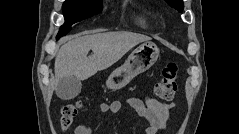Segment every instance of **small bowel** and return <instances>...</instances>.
<instances>
[{"mask_svg":"<svg viewBox=\"0 0 239 134\" xmlns=\"http://www.w3.org/2000/svg\"><path fill=\"white\" fill-rule=\"evenodd\" d=\"M130 107L135 114L144 119L147 127L144 134H159L164 130L173 104L166 101H159L153 97H132L128 100ZM122 104L120 101L100 103L97 109L102 113L117 114L120 112ZM90 125H78L74 128L73 134H92Z\"/></svg>","mask_w":239,"mask_h":134,"instance_id":"c3829d8e","label":"small bowel"}]
</instances>
